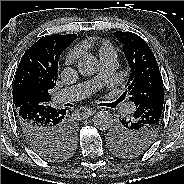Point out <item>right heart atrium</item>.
<instances>
[{
  "mask_svg": "<svg viewBox=\"0 0 184 184\" xmlns=\"http://www.w3.org/2000/svg\"><path fill=\"white\" fill-rule=\"evenodd\" d=\"M81 53L82 50L79 47L71 50L66 56V63L73 64L80 57Z\"/></svg>",
  "mask_w": 184,
  "mask_h": 184,
  "instance_id": "d8ad5b80",
  "label": "right heart atrium"
}]
</instances>
